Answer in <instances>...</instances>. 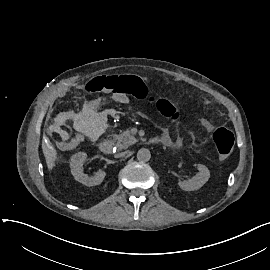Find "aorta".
Wrapping results in <instances>:
<instances>
[{
  "instance_id": "aorta-1",
  "label": "aorta",
  "mask_w": 270,
  "mask_h": 270,
  "mask_svg": "<svg viewBox=\"0 0 270 270\" xmlns=\"http://www.w3.org/2000/svg\"><path fill=\"white\" fill-rule=\"evenodd\" d=\"M151 158V153L148 149L146 148H141L137 152V159L139 161L147 162Z\"/></svg>"
}]
</instances>
